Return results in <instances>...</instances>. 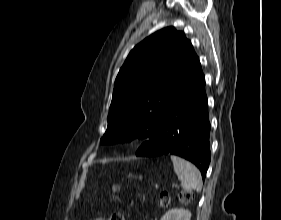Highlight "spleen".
I'll list each match as a JSON object with an SVG mask.
<instances>
[{"label": "spleen", "instance_id": "1", "mask_svg": "<svg viewBox=\"0 0 281 220\" xmlns=\"http://www.w3.org/2000/svg\"><path fill=\"white\" fill-rule=\"evenodd\" d=\"M175 173L177 174L183 189L200 192L203 186L200 171L189 161L178 156L171 155Z\"/></svg>", "mask_w": 281, "mask_h": 220}]
</instances>
